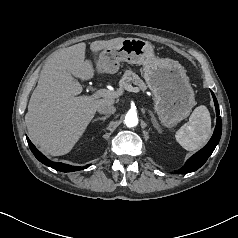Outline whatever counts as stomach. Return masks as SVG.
<instances>
[{
  "instance_id": "1",
  "label": "stomach",
  "mask_w": 238,
  "mask_h": 238,
  "mask_svg": "<svg viewBox=\"0 0 238 238\" xmlns=\"http://www.w3.org/2000/svg\"><path fill=\"white\" fill-rule=\"evenodd\" d=\"M120 62L143 65V77L153 93L154 108L164 126L173 127L189 115L195 104L194 91L178 61L156 57L148 41L126 38L101 51L96 68L100 73L114 74Z\"/></svg>"
}]
</instances>
